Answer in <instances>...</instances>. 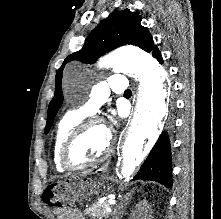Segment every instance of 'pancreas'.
<instances>
[{
	"label": "pancreas",
	"mask_w": 221,
	"mask_h": 219,
	"mask_svg": "<svg viewBox=\"0 0 221 219\" xmlns=\"http://www.w3.org/2000/svg\"><path fill=\"white\" fill-rule=\"evenodd\" d=\"M110 206L108 202H95L91 207L87 208L84 212L89 217H92L94 219H102V218H108L109 213L106 211V209Z\"/></svg>",
	"instance_id": "obj_1"
}]
</instances>
